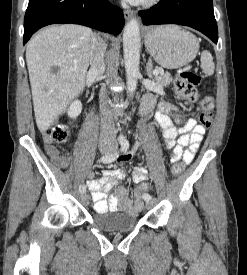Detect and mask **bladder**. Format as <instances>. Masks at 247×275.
Returning a JSON list of instances; mask_svg holds the SVG:
<instances>
[{
	"label": "bladder",
	"instance_id": "bladder-1",
	"mask_svg": "<svg viewBox=\"0 0 247 275\" xmlns=\"http://www.w3.org/2000/svg\"><path fill=\"white\" fill-rule=\"evenodd\" d=\"M94 224L102 230L110 232H127L139 222L137 216L120 212H97L93 216Z\"/></svg>",
	"mask_w": 247,
	"mask_h": 275
}]
</instances>
